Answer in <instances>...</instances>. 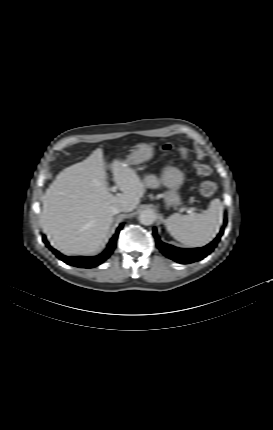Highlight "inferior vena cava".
<instances>
[{
	"mask_svg": "<svg viewBox=\"0 0 273 430\" xmlns=\"http://www.w3.org/2000/svg\"><path fill=\"white\" fill-rule=\"evenodd\" d=\"M125 205L122 203H116L114 205L111 206V212L113 214H118L120 212H124L125 211Z\"/></svg>",
	"mask_w": 273,
	"mask_h": 430,
	"instance_id": "obj_1",
	"label": "inferior vena cava"
}]
</instances>
